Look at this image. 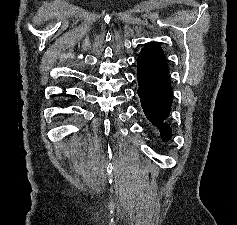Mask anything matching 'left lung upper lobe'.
Masks as SVG:
<instances>
[{
	"instance_id": "obj_1",
	"label": "left lung upper lobe",
	"mask_w": 237,
	"mask_h": 225,
	"mask_svg": "<svg viewBox=\"0 0 237 225\" xmlns=\"http://www.w3.org/2000/svg\"><path fill=\"white\" fill-rule=\"evenodd\" d=\"M137 75L153 82H168V65L162 48L148 44L137 58Z\"/></svg>"
}]
</instances>
